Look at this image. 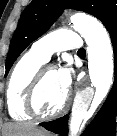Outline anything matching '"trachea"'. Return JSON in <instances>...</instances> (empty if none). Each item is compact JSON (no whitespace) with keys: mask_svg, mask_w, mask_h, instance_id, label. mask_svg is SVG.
I'll return each mask as SVG.
<instances>
[{"mask_svg":"<svg viewBox=\"0 0 117 136\" xmlns=\"http://www.w3.org/2000/svg\"><path fill=\"white\" fill-rule=\"evenodd\" d=\"M78 53H85V49L84 48L79 49Z\"/></svg>","mask_w":117,"mask_h":136,"instance_id":"3493384b","label":"trachea"}]
</instances>
